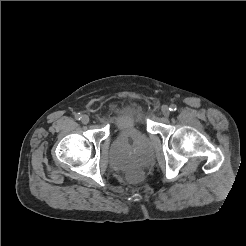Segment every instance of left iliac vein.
I'll return each instance as SVG.
<instances>
[{"instance_id":"4c4485c4","label":"left iliac vein","mask_w":246,"mask_h":246,"mask_svg":"<svg viewBox=\"0 0 246 246\" xmlns=\"http://www.w3.org/2000/svg\"><path fill=\"white\" fill-rule=\"evenodd\" d=\"M162 114L165 116V117H169L170 115V109L168 106H162Z\"/></svg>"}]
</instances>
